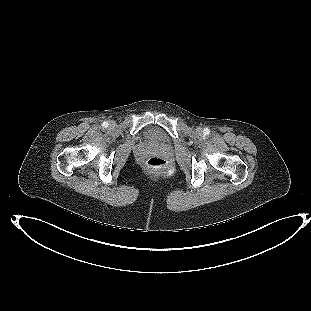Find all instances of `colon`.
Instances as JSON below:
<instances>
[{
  "mask_svg": "<svg viewBox=\"0 0 311 311\" xmlns=\"http://www.w3.org/2000/svg\"><path fill=\"white\" fill-rule=\"evenodd\" d=\"M147 168L153 172H163L167 169V162L159 156H153L148 159Z\"/></svg>",
  "mask_w": 311,
  "mask_h": 311,
  "instance_id": "1",
  "label": "colon"
}]
</instances>
